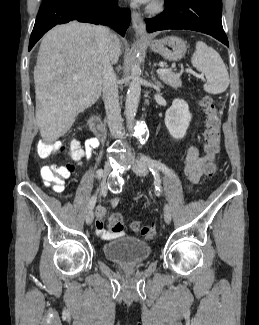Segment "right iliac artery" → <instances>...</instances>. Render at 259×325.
<instances>
[{
	"mask_svg": "<svg viewBox=\"0 0 259 325\" xmlns=\"http://www.w3.org/2000/svg\"><path fill=\"white\" fill-rule=\"evenodd\" d=\"M102 174H103V170H102V169H99V170L97 171V175L95 176V179L97 180V181H96L97 183L99 182L98 180L101 178ZM97 183H95L94 185L97 186V185H98ZM101 193L103 194V193H105V192H101ZM95 203H96V196L93 195V196L91 197L90 201H89V205H88L89 209H93L94 206H95Z\"/></svg>",
	"mask_w": 259,
	"mask_h": 325,
	"instance_id": "right-iliac-artery-1",
	"label": "right iliac artery"
}]
</instances>
